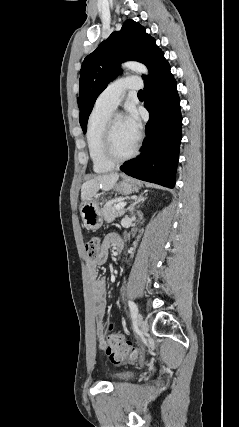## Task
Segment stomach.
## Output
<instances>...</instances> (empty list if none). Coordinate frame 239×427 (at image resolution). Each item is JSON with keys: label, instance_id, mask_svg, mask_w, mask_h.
<instances>
[{"label": "stomach", "instance_id": "1", "mask_svg": "<svg viewBox=\"0 0 239 427\" xmlns=\"http://www.w3.org/2000/svg\"><path fill=\"white\" fill-rule=\"evenodd\" d=\"M114 189L120 194L130 195L137 192L139 187L135 180L124 177L115 185ZM80 214L87 229L97 230L103 224L102 211L95 199L83 202L80 206Z\"/></svg>", "mask_w": 239, "mask_h": 427}]
</instances>
